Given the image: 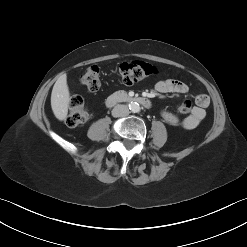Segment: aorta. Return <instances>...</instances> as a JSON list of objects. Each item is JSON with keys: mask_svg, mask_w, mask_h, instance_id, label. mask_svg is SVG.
Here are the masks:
<instances>
[{"mask_svg": "<svg viewBox=\"0 0 247 247\" xmlns=\"http://www.w3.org/2000/svg\"><path fill=\"white\" fill-rule=\"evenodd\" d=\"M130 109L132 112L137 113L140 111V106L138 103L135 102L130 105Z\"/></svg>", "mask_w": 247, "mask_h": 247, "instance_id": "1", "label": "aorta"}]
</instances>
